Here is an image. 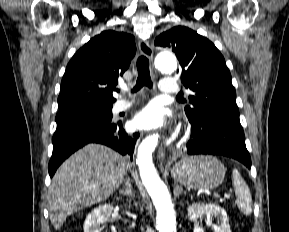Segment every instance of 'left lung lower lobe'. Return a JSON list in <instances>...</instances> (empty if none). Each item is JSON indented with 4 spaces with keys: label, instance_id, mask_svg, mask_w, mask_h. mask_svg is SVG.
I'll return each instance as SVG.
<instances>
[{
    "label": "left lung lower lobe",
    "instance_id": "0a47b994",
    "mask_svg": "<svg viewBox=\"0 0 289 232\" xmlns=\"http://www.w3.org/2000/svg\"><path fill=\"white\" fill-rule=\"evenodd\" d=\"M187 154L223 155L251 168L242 126L238 122H225L217 118L191 124V137L186 144Z\"/></svg>",
    "mask_w": 289,
    "mask_h": 232
}]
</instances>
